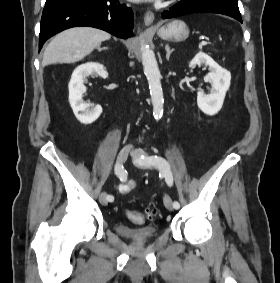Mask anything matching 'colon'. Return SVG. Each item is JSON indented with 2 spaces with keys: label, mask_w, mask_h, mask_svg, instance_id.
Wrapping results in <instances>:
<instances>
[{
  "label": "colon",
  "mask_w": 280,
  "mask_h": 283,
  "mask_svg": "<svg viewBox=\"0 0 280 283\" xmlns=\"http://www.w3.org/2000/svg\"><path fill=\"white\" fill-rule=\"evenodd\" d=\"M126 214L133 223L142 224L146 222L147 220H152L156 212L147 211L146 213H141L137 211L128 210Z\"/></svg>",
  "instance_id": "obj_1"
}]
</instances>
